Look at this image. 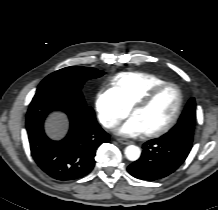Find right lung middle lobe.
<instances>
[{"instance_id":"1","label":"right lung middle lobe","mask_w":218,"mask_h":210,"mask_svg":"<svg viewBox=\"0 0 218 210\" xmlns=\"http://www.w3.org/2000/svg\"><path fill=\"white\" fill-rule=\"evenodd\" d=\"M103 74L104 72L90 67L72 66L60 69L42 80L33 99L59 98L86 105L81 93L83 84L87 80L98 78Z\"/></svg>"}]
</instances>
